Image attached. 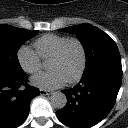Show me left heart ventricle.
Segmentation results:
<instances>
[{
	"instance_id": "b2bd125f",
	"label": "left heart ventricle",
	"mask_w": 128,
	"mask_h": 128,
	"mask_svg": "<svg viewBox=\"0 0 128 128\" xmlns=\"http://www.w3.org/2000/svg\"><path fill=\"white\" fill-rule=\"evenodd\" d=\"M81 62L82 56L79 47L77 45H72L62 60H50L48 69L59 71L66 80H69L78 73Z\"/></svg>"
}]
</instances>
